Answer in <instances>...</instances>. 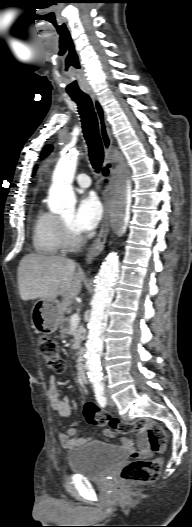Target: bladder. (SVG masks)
I'll list each match as a JSON object with an SVG mask.
<instances>
[{"mask_svg":"<svg viewBox=\"0 0 192 527\" xmlns=\"http://www.w3.org/2000/svg\"><path fill=\"white\" fill-rule=\"evenodd\" d=\"M127 458L124 450L101 441H90L73 450L68 465L73 474L89 480H102Z\"/></svg>","mask_w":192,"mask_h":527,"instance_id":"obj_1","label":"bladder"}]
</instances>
